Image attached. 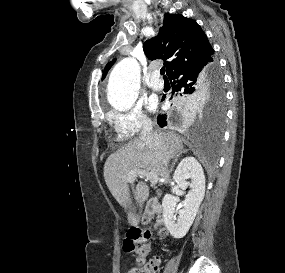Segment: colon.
Listing matches in <instances>:
<instances>
[{"instance_id":"obj_1","label":"colon","mask_w":285,"mask_h":273,"mask_svg":"<svg viewBox=\"0 0 285 273\" xmlns=\"http://www.w3.org/2000/svg\"><path fill=\"white\" fill-rule=\"evenodd\" d=\"M149 233L142 230H134L123 241L125 252L132 254L135 258L136 266L129 273H157L159 262L154 260L145 263V258L149 253Z\"/></svg>"}]
</instances>
